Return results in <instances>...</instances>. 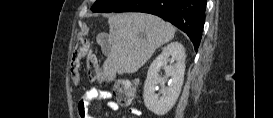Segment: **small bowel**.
I'll use <instances>...</instances> for the list:
<instances>
[{"instance_id":"c3829d8e","label":"small bowel","mask_w":273,"mask_h":118,"mask_svg":"<svg viewBox=\"0 0 273 118\" xmlns=\"http://www.w3.org/2000/svg\"><path fill=\"white\" fill-rule=\"evenodd\" d=\"M95 100L105 101L107 106L113 111L120 109L119 104L112 98L110 93L106 91H100L96 88H91L84 93V95L77 103V111L80 118H90L89 106ZM130 113L133 116H140L141 114L140 110L137 108L130 109Z\"/></svg>"}]
</instances>
